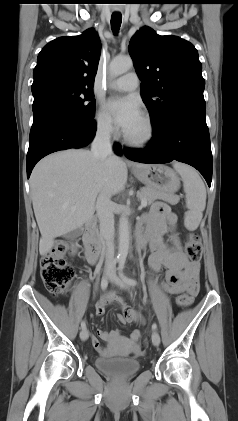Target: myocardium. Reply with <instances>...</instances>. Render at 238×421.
Here are the masks:
<instances>
[{
    "label": "myocardium",
    "instance_id": "myocardium-1",
    "mask_svg": "<svg viewBox=\"0 0 238 421\" xmlns=\"http://www.w3.org/2000/svg\"><path fill=\"white\" fill-rule=\"evenodd\" d=\"M141 117L144 121L145 127H146V133L145 135L140 138V139H133L131 137H129L125 131L123 132V139L124 142L134 148H145L147 146H149L153 139H154V134H155V130H154V125L152 122L151 117L146 114V113H142Z\"/></svg>",
    "mask_w": 238,
    "mask_h": 421
}]
</instances>
